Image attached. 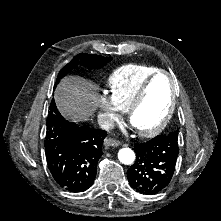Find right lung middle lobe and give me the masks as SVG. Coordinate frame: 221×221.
Instances as JSON below:
<instances>
[{
	"mask_svg": "<svg viewBox=\"0 0 221 221\" xmlns=\"http://www.w3.org/2000/svg\"><path fill=\"white\" fill-rule=\"evenodd\" d=\"M112 60L111 57H103V56H97L94 54H78L75 56L71 62H69L67 65H65L60 73L58 74V80L56 83L59 82L61 78H63L67 73H69L72 69L76 68L79 61L87 68L89 69H99L103 67L106 63L110 62ZM56 86H54L55 88Z\"/></svg>",
	"mask_w": 221,
	"mask_h": 221,
	"instance_id": "obj_1",
	"label": "right lung middle lobe"
}]
</instances>
